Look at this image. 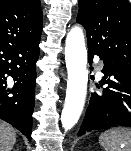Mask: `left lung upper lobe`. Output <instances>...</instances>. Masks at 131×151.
<instances>
[{
    "label": "left lung upper lobe",
    "mask_w": 131,
    "mask_h": 151,
    "mask_svg": "<svg viewBox=\"0 0 131 151\" xmlns=\"http://www.w3.org/2000/svg\"><path fill=\"white\" fill-rule=\"evenodd\" d=\"M78 23L88 50L131 70V5L127 0H79Z\"/></svg>",
    "instance_id": "left-lung-upper-lobe-1"
}]
</instances>
